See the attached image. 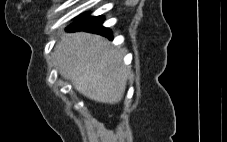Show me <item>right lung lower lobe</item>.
Wrapping results in <instances>:
<instances>
[{
	"label": "right lung lower lobe",
	"mask_w": 227,
	"mask_h": 142,
	"mask_svg": "<svg viewBox=\"0 0 227 142\" xmlns=\"http://www.w3.org/2000/svg\"><path fill=\"white\" fill-rule=\"evenodd\" d=\"M103 21V16H85L72 23L68 29L70 31H87L112 38L111 31L102 26Z\"/></svg>",
	"instance_id": "obj_1"
}]
</instances>
